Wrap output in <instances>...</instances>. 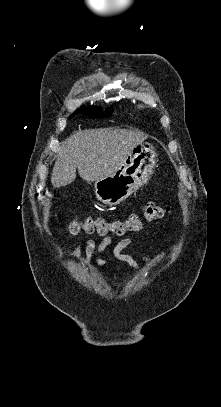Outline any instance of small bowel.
<instances>
[{"label": "small bowel", "instance_id": "obj_1", "mask_svg": "<svg viewBox=\"0 0 221 407\" xmlns=\"http://www.w3.org/2000/svg\"><path fill=\"white\" fill-rule=\"evenodd\" d=\"M159 227H160V229H163L161 226H159ZM112 242H113V238L110 236L104 238L98 245L95 243L94 240L87 239L84 242V248L78 245L73 249V251L71 252L70 259L71 260L80 259L81 266L85 270H87L90 258L95 256L97 262L101 266L106 267V262L103 259V254H104L106 248L112 244ZM131 243H132V238H130V237L125 238L124 240L120 241L114 247L113 254L117 258H120V259L128 262L133 269H136V264H135L134 260L131 257L122 254V251ZM140 257L147 266L153 267L152 258L150 257V255L148 253L141 250Z\"/></svg>", "mask_w": 221, "mask_h": 407}]
</instances>
